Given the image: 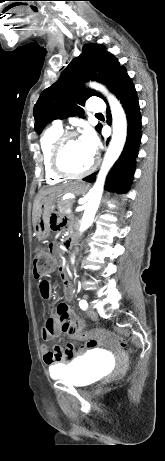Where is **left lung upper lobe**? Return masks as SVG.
Wrapping results in <instances>:
<instances>
[{
	"instance_id": "1",
	"label": "left lung upper lobe",
	"mask_w": 165,
	"mask_h": 461,
	"mask_svg": "<svg viewBox=\"0 0 165 461\" xmlns=\"http://www.w3.org/2000/svg\"><path fill=\"white\" fill-rule=\"evenodd\" d=\"M123 71L125 68L101 44L84 45L81 55L71 61L57 82L45 89L36 102L33 111L36 132L40 133L51 120L83 114L77 104L82 105L87 98L94 95L103 98L99 92L85 88V81H98L112 91ZM96 128L99 131L101 125Z\"/></svg>"
}]
</instances>
